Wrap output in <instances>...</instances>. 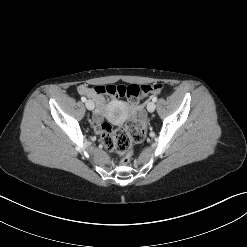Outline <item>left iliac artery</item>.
Returning <instances> with one entry per match:
<instances>
[{"instance_id": "1", "label": "left iliac artery", "mask_w": 247, "mask_h": 247, "mask_svg": "<svg viewBox=\"0 0 247 247\" xmlns=\"http://www.w3.org/2000/svg\"><path fill=\"white\" fill-rule=\"evenodd\" d=\"M152 101H153V102H156V101H157V97H153V98H152Z\"/></svg>"}]
</instances>
